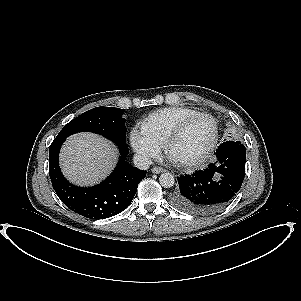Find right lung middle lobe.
<instances>
[{
    "label": "right lung middle lobe",
    "instance_id": "1",
    "mask_svg": "<svg viewBox=\"0 0 301 301\" xmlns=\"http://www.w3.org/2000/svg\"><path fill=\"white\" fill-rule=\"evenodd\" d=\"M124 110L112 107H97L84 112L67 123L57 137H68L71 134L89 131L109 139L126 143Z\"/></svg>",
    "mask_w": 301,
    "mask_h": 301
}]
</instances>
